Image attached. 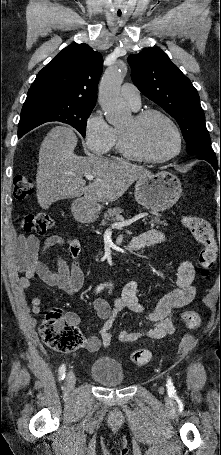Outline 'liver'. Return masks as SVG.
Wrapping results in <instances>:
<instances>
[{
	"mask_svg": "<svg viewBox=\"0 0 221 455\" xmlns=\"http://www.w3.org/2000/svg\"><path fill=\"white\" fill-rule=\"evenodd\" d=\"M77 142L74 130L66 125L52 128L45 136L36 174L37 200L42 209L58 200L82 195L92 203L112 202L137 179L151 175L149 170L131 163L78 156L74 153ZM86 174L101 181L94 180L86 186Z\"/></svg>",
	"mask_w": 221,
	"mask_h": 455,
	"instance_id": "6515ba94",
	"label": "liver"
}]
</instances>
